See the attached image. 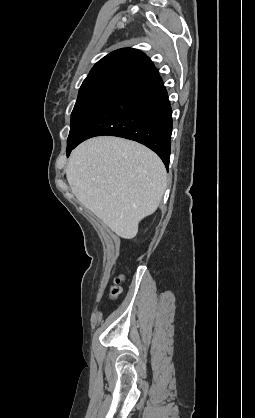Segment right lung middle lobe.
I'll return each instance as SVG.
<instances>
[{"label": "right lung middle lobe", "instance_id": "right-lung-middle-lobe-1", "mask_svg": "<svg viewBox=\"0 0 255 418\" xmlns=\"http://www.w3.org/2000/svg\"><path fill=\"white\" fill-rule=\"evenodd\" d=\"M125 87L118 84L94 83L82 85L71 114V127L67 146L74 143L94 115Z\"/></svg>", "mask_w": 255, "mask_h": 418}]
</instances>
